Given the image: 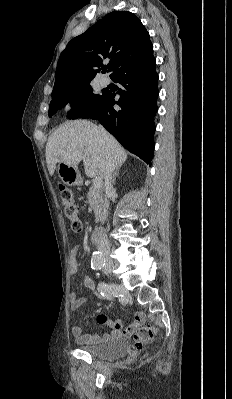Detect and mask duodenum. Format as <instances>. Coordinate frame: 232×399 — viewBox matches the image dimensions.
<instances>
[{"instance_id": "obj_1", "label": "duodenum", "mask_w": 232, "mask_h": 399, "mask_svg": "<svg viewBox=\"0 0 232 399\" xmlns=\"http://www.w3.org/2000/svg\"><path fill=\"white\" fill-rule=\"evenodd\" d=\"M101 234H102V228H96V229H94V230L92 231L91 235H90V241H91L93 244L98 243L99 240H100Z\"/></svg>"}]
</instances>
